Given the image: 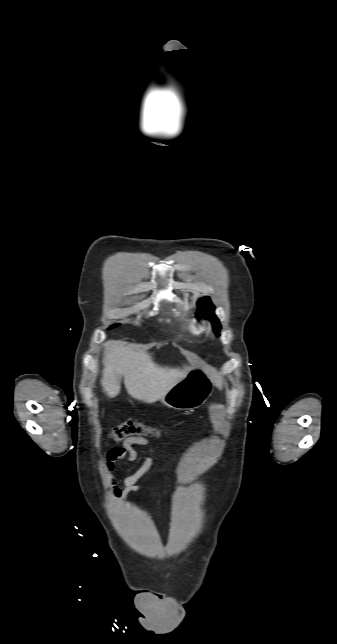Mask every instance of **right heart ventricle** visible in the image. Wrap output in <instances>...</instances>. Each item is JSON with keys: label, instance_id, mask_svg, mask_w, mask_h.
Returning <instances> with one entry per match:
<instances>
[{"label": "right heart ventricle", "instance_id": "right-heart-ventricle-1", "mask_svg": "<svg viewBox=\"0 0 337 644\" xmlns=\"http://www.w3.org/2000/svg\"><path fill=\"white\" fill-rule=\"evenodd\" d=\"M185 328L189 333L195 336L200 335L203 331L202 326L195 319H190L186 323Z\"/></svg>", "mask_w": 337, "mask_h": 644}]
</instances>
